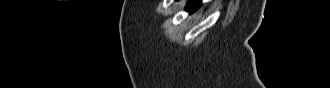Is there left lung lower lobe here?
Returning a JSON list of instances; mask_svg holds the SVG:
<instances>
[{
	"label": "left lung lower lobe",
	"instance_id": "0a47b994",
	"mask_svg": "<svg viewBox=\"0 0 330 88\" xmlns=\"http://www.w3.org/2000/svg\"><path fill=\"white\" fill-rule=\"evenodd\" d=\"M197 3H200L199 0H191L186 7V10L189 11L190 13H193L195 11V6Z\"/></svg>",
	"mask_w": 330,
	"mask_h": 88
}]
</instances>
